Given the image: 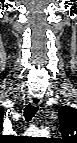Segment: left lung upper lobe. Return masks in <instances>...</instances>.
Listing matches in <instances>:
<instances>
[{"mask_svg": "<svg viewBox=\"0 0 77 143\" xmlns=\"http://www.w3.org/2000/svg\"><path fill=\"white\" fill-rule=\"evenodd\" d=\"M60 128L59 131L65 143L75 141L77 138V110L69 106L59 109Z\"/></svg>", "mask_w": 77, "mask_h": 143, "instance_id": "1", "label": "left lung upper lobe"}]
</instances>
